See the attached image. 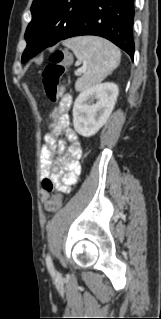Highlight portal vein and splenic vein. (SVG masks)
<instances>
[{
  "instance_id": "1",
  "label": "portal vein and splenic vein",
  "mask_w": 161,
  "mask_h": 319,
  "mask_svg": "<svg viewBox=\"0 0 161 319\" xmlns=\"http://www.w3.org/2000/svg\"><path fill=\"white\" fill-rule=\"evenodd\" d=\"M85 71H86L85 68L78 69V71L76 72V75H80L81 73H84Z\"/></svg>"
}]
</instances>
